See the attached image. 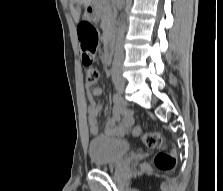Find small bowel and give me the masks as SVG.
Instances as JSON below:
<instances>
[{"label":"small bowel","instance_id":"small-bowel-1","mask_svg":"<svg viewBox=\"0 0 223 191\" xmlns=\"http://www.w3.org/2000/svg\"><path fill=\"white\" fill-rule=\"evenodd\" d=\"M95 28L91 24H85ZM83 26V27H84ZM96 29V28H95ZM101 60L105 65H109L110 57L107 58L105 54L101 56ZM88 95V123L90 125V132L93 136L106 135L110 137H123L127 135L133 125V111L113 99L112 115L107 120L103 131L99 127V115L102 111V106L97 104L96 97L103 93L102 88L94 86L91 83L86 85Z\"/></svg>","mask_w":223,"mask_h":191}]
</instances>
